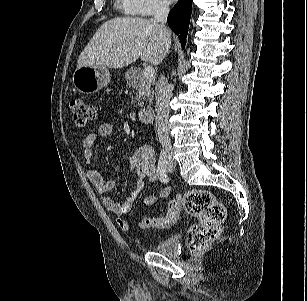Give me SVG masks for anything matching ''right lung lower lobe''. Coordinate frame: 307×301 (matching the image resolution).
<instances>
[{
  "instance_id": "1",
  "label": "right lung lower lobe",
  "mask_w": 307,
  "mask_h": 301,
  "mask_svg": "<svg viewBox=\"0 0 307 301\" xmlns=\"http://www.w3.org/2000/svg\"><path fill=\"white\" fill-rule=\"evenodd\" d=\"M192 0H179L170 11L167 22L170 28L178 35L182 48L185 47L191 17Z\"/></svg>"
}]
</instances>
